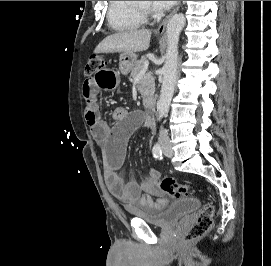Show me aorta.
Returning <instances> with one entry per match:
<instances>
[{
  "label": "aorta",
  "mask_w": 271,
  "mask_h": 266,
  "mask_svg": "<svg viewBox=\"0 0 271 266\" xmlns=\"http://www.w3.org/2000/svg\"><path fill=\"white\" fill-rule=\"evenodd\" d=\"M186 23L184 14L173 15L166 28L167 50L163 66V82L160 97L157 102L158 117L161 119L169 110L174 94L178 68V42Z\"/></svg>",
  "instance_id": "obj_1"
}]
</instances>
